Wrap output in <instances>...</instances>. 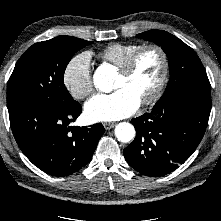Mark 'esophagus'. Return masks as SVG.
I'll return each instance as SVG.
<instances>
[{
	"mask_svg": "<svg viewBox=\"0 0 221 221\" xmlns=\"http://www.w3.org/2000/svg\"><path fill=\"white\" fill-rule=\"evenodd\" d=\"M103 126L106 130H110L115 126V124L111 123V122H105V123H103Z\"/></svg>",
	"mask_w": 221,
	"mask_h": 221,
	"instance_id": "obj_1",
	"label": "esophagus"
}]
</instances>
